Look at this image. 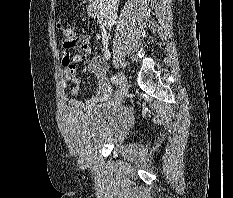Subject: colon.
I'll list each match as a JSON object with an SVG mask.
<instances>
[{
    "label": "colon",
    "mask_w": 233,
    "mask_h": 198,
    "mask_svg": "<svg viewBox=\"0 0 233 198\" xmlns=\"http://www.w3.org/2000/svg\"><path fill=\"white\" fill-rule=\"evenodd\" d=\"M59 29L61 30V34H62L63 46L65 48L74 47L77 39L75 32L72 29L63 27L61 25H59Z\"/></svg>",
    "instance_id": "colon-1"
}]
</instances>
